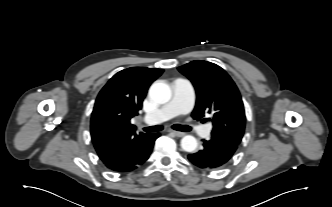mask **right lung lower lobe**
<instances>
[{
  "instance_id": "obj_1",
  "label": "right lung lower lobe",
  "mask_w": 332,
  "mask_h": 207,
  "mask_svg": "<svg viewBox=\"0 0 332 207\" xmlns=\"http://www.w3.org/2000/svg\"><path fill=\"white\" fill-rule=\"evenodd\" d=\"M160 136L158 133L149 134L135 151L126 159L104 163L106 167L115 172H131L142 165L150 156L155 140Z\"/></svg>"
}]
</instances>
